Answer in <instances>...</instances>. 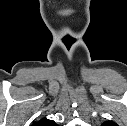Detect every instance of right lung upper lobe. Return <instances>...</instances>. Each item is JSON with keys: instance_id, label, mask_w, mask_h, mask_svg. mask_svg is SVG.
Here are the masks:
<instances>
[{"instance_id": "1", "label": "right lung upper lobe", "mask_w": 127, "mask_h": 126, "mask_svg": "<svg viewBox=\"0 0 127 126\" xmlns=\"http://www.w3.org/2000/svg\"><path fill=\"white\" fill-rule=\"evenodd\" d=\"M32 126H57L56 123L47 118H42L37 122H34Z\"/></svg>"}]
</instances>
